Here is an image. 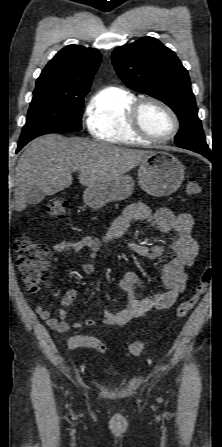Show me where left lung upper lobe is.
<instances>
[{"label":"left lung upper lobe","mask_w":222,"mask_h":447,"mask_svg":"<svg viewBox=\"0 0 222 447\" xmlns=\"http://www.w3.org/2000/svg\"><path fill=\"white\" fill-rule=\"evenodd\" d=\"M112 62L118 76L132 90L167 104L181 127L175 136L178 147L209 152L187 70L175 53L153 37L116 48Z\"/></svg>","instance_id":"5c2ea615"}]
</instances>
